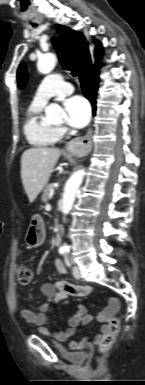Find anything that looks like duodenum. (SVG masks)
Wrapping results in <instances>:
<instances>
[{
    "mask_svg": "<svg viewBox=\"0 0 145 385\" xmlns=\"http://www.w3.org/2000/svg\"><path fill=\"white\" fill-rule=\"evenodd\" d=\"M54 243L56 246H59L61 244V236L60 234H56L55 237H54Z\"/></svg>",
    "mask_w": 145,
    "mask_h": 385,
    "instance_id": "410a0bca",
    "label": "duodenum"
}]
</instances>
